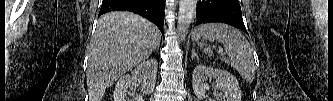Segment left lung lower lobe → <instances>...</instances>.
<instances>
[{
  "instance_id": "left-lung-lower-lobe-1",
  "label": "left lung lower lobe",
  "mask_w": 333,
  "mask_h": 101,
  "mask_svg": "<svg viewBox=\"0 0 333 101\" xmlns=\"http://www.w3.org/2000/svg\"><path fill=\"white\" fill-rule=\"evenodd\" d=\"M211 22L226 23L247 33L238 0H199L195 25Z\"/></svg>"
}]
</instances>
